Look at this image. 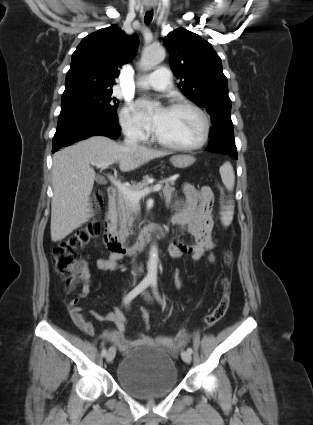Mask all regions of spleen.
Returning a JSON list of instances; mask_svg holds the SVG:
<instances>
[{
	"mask_svg": "<svg viewBox=\"0 0 313 425\" xmlns=\"http://www.w3.org/2000/svg\"><path fill=\"white\" fill-rule=\"evenodd\" d=\"M222 182L228 191H232L235 184V174L230 162H225L219 169ZM234 214V206L230 205L226 211L222 213L221 221L224 226H228Z\"/></svg>",
	"mask_w": 313,
	"mask_h": 425,
	"instance_id": "1",
	"label": "spleen"
}]
</instances>
